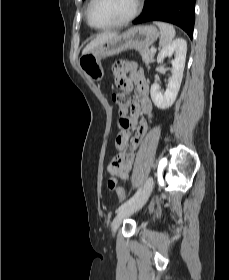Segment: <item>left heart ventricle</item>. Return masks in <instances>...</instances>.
Listing matches in <instances>:
<instances>
[{"label": "left heart ventricle", "instance_id": "obj_1", "mask_svg": "<svg viewBox=\"0 0 229 280\" xmlns=\"http://www.w3.org/2000/svg\"><path fill=\"white\" fill-rule=\"evenodd\" d=\"M135 7V0H98L92 13L96 25H106L129 16Z\"/></svg>", "mask_w": 229, "mask_h": 280}]
</instances>
